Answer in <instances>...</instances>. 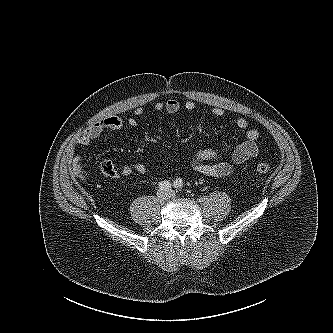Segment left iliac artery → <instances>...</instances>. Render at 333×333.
<instances>
[{"label": "left iliac artery", "mask_w": 333, "mask_h": 333, "mask_svg": "<svg viewBox=\"0 0 333 333\" xmlns=\"http://www.w3.org/2000/svg\"><path fill=\"white\" fill-rule=\"evenodd\" d=\"M174 187L181 190L184 187L182 179L178 178L174 181Z\"/></svg>", "instance_id": "left-iliac-artery-1"}]
</instances>
